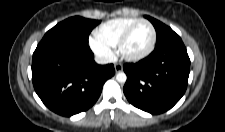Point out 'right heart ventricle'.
I'll use <instances>...</instances> for the list:
<instances>
[{
  "label": "right heart ventricle",
  "mask_w": 225,
  "mask_h": 132,
  "mask_svg": "<svg viewBox=\"0 0 225 132\" xmlns=\"http://www.w3.org/2000/svg\"><path fill=\"white\" fill-rule=\"evenodd\" d=\"M136 20L131 17L109 20L96 29L95 38L110 48L116 47L123 32Z\"/></svg>",
  "instance_id": "right-heart-ventricle-1"
}]
</instances>
